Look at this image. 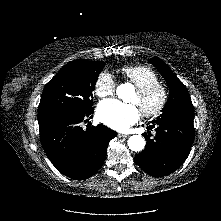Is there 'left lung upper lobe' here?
Segmentation results:
<instances>
[{
	"mask_svg": "<svg viewBox=\"0 0 221 221\" xmlns=\"http://www.w3.org/2000/svg\"><path fill=\"white\" fill-rule=\"evenodd\" d=\"M150 62L156 66L157 70L165 78L170 89L169 99L162 110V114L152 123L168 119L193 120V105L186 86L160 58L153 57Z\"/></svg>",
	"mask_w": 221,
	"mask_h": 221,
	"instance_id": "5c2ea615",
	"label": "left lung upper lobe"
}]
</instances>
